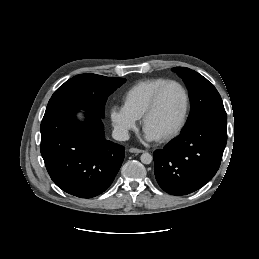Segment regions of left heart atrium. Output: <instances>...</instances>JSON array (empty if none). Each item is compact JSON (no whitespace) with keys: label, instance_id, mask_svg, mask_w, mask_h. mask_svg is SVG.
<instances>
[{"label":"left heart atrium","instance_id":"1","mask_svg":"<svg viewBox=\"0 0 259 259\" xmlns=\"http://www.w3.org/2000/svg\"><path fill=\"white\" fill-rule=\"evenodd\" d=\"M144 139L146 141H154V140H157V137L154 136L152 133H150L148 130L145 129Z\"/></svg>","mask_w":259,"mask_h":259}]
</instances>
